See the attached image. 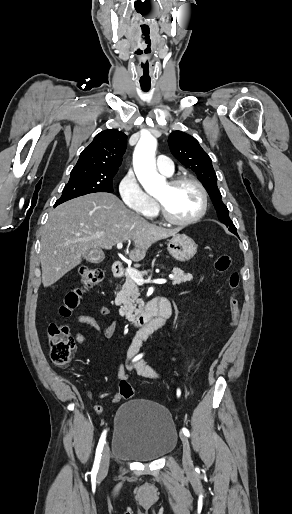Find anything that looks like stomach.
Masks as SVG:
<instances>
[{
  "mask_svg": "<svg viewBox=\"0 0 292 514\" xmlns=\"http://www.w3.org/2000/svg\"><path fill=\"white\" fill-rule=\"evenodd\" d=\"M167 250L170 256L178 260V262H187V260H191L195 256L197 244L189 236L177 234L172 240H168Z\"/></svg>",
  "mask_w": 292,
  "mask_h": 514,
  "instance_id": "obj_1",
  "label": "stomach"
}]
</instances>
